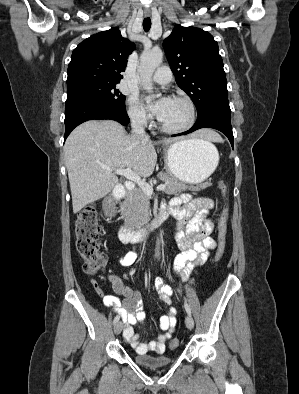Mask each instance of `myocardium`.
<instances>
[{
  "label": "myocardium",
  "instance_id": "f54148a6",
  "mask_svg": "<svg viewBox=\"0 0 299 394\" xmlns=\"http://www.w3.org/2000/svg\"><path fill=\"white\" fill-rule=\"evenodd\" d=\"M169 99L179 100V101L184 102L189 107L190 120L186 125H184L182 127L171 128V127L164 125L162 123V121L160 120V118H158V125H159L160 129L166 133H169V134H179V133H184V132L190 130L194 126V124L196 122V117H197V112H196V107H195L194 102L189 97H187L185 95H172L169 97Z\"/></svg>",
  "mask_w": 299,
  "mask_h": 394
}]
</instances>
